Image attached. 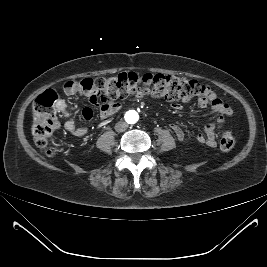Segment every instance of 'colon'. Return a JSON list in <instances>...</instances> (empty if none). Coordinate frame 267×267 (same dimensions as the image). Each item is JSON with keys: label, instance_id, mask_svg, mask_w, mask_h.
Wrapping results in <instances>:
<instances>
[{"label": "colon", "instance_id": "obj_1", "mask_svg": "<svg viewBox=\"0 0 267 267\" xmlns=\"http://www.w3.org/2000/svg\"><path fill=\"white\" fill-rule=\"evenodd\" d=\"M75 85L85 90L94 103L104 104L110 101L127 98L132 95L164 98L169 102L188 101L204 95L208 87L197 80L164 74H138L123 72L116 76L86 78L75 81ZM58 95L53 90L42 93L33 105L32 135L38 147L47 155L52 151L48 143L54 130L58 127L56 104ZM236 138L231 131H224L220 138V147L231 150Z\"/></svg>", "mask_w": 267, "mask_h": 267}]
</instances>
